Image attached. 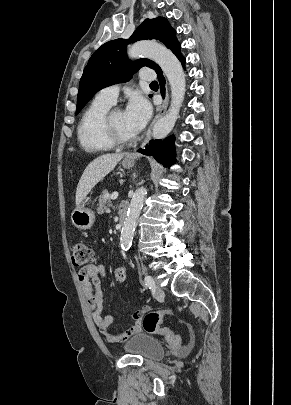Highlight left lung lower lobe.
I'll list each match as a JSON object with an SVG mask.
<instances>
[{
	"instance_id": "1",
	"label": "left lung lower lobe",
	"mask_w": 291,
	"mask_h": 405,
	"mask_svg": "<svg viewBox=\"0 0 291 405\" xmlns=\"http://www.w3.org/2000/svg\"><path fill=\"white\" fill-rule=\"evenodd\" d=\"M181 45L179 42H177L172 48L171 51L177 56V58L180 60L182 65L184 66L185 64V57L181 54L180 52ZM156 73L158 74V79L160 81V86H161V93L162 96H165L164 93V85H165V79L162 74L161 68H157ZM138 152L148 155V156H153L159 163H162L164 166H171L175 164L176 158H175V145H174V137H168L167 139L164 140H151L143 149H139Z\"/></svg>"
}]
</instances>
